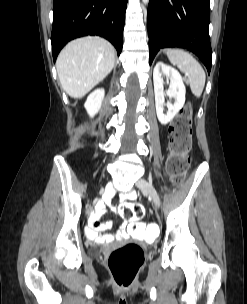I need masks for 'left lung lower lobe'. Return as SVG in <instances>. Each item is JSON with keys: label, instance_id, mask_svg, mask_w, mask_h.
I'll return each instance as SVG.
<instances>
[{"label": "left lung lower lobe", "instance_id": "obj_1", "mask_svg": "<svg viewBox=\"0 0 247 304\" xmlns=\"http://www.w3.org/2000/svg\"><path fill=\"white\" fill-rule=\"evenodd\" d=\"M210 0H150L147 12L149 62L160 48L183 47L211 70Z\"/></svg>", "mask_w": 247, "mask_h": 304}]
</instances>
